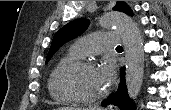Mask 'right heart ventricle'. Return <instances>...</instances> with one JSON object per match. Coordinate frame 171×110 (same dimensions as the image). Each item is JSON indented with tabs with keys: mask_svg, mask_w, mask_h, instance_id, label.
I'll list each match as a JSON object with an SVG mask.
<instances>
[{
	"mask_svg": "<svg viewBox=\"0 0 171 110\" xmlns=\"http://www.w3.org/2000/svg\"><path fill=\"white\" fill-rule=\"evenodd\" d=\"M80 58V55L77 54L73 49H70L64 56H62L57 64L54 66L53 70L51 71L47 87L50 93V96L61 103H69L71 99H69L67 96L61 93L57 86V75L60 69L67 63L77 60Z\"/></svg>",
	"mask_w": 171,
	"mask_h": 110,
	"instance_id": "obj_1",
	"label": "right heart ventricle"
}]
</instances>
